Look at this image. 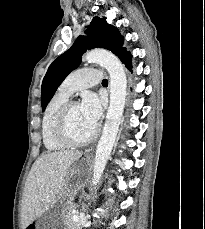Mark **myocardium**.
Returning <instances> with one entry per match:
<instances>
[{
    "label": "myocardium",
    "instance_id": "1",
    "mask_svg": "<svg viewBox=\"0 0 205 229\" xmlns=\"http://www.w3.org/2000/svg\"><path fill=\"white\" fill-rule=\"evenodd\" d=\"M75 105H79L77 101L68 100L61 107V109L58 112L54 128V133L57 140L69 147H79L87 145L92 140H94V138L97 136L99 132V127L95 125L91 134L84 139L77 140L70 136L68 131V119L70 111Z\"/></svg>",
    "mask_w": 205,
    "mask_h": 229
}]
</instances>
